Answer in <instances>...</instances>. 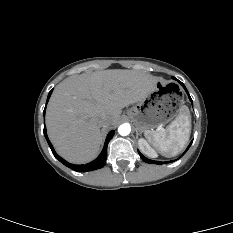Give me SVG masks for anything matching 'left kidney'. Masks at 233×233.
<instances>
[{"mask_svg": "<svg viewBox=\"0 0 233 233\" xmlns=\"http://www.w3.org/2000/svg\"><path fill=\"white\" fill-rule=\"evenodd\" d=\"M139 147L143 153L148 155L149 157L155 158L157 157V153L154 151V149L151 148V146L148 144V142L141 138L138 140Z\"/></svg>", "mask_w": 233, "mask_h": 233, "instance_id": "obj_1", "label": "left kidney"}]
</instances>
